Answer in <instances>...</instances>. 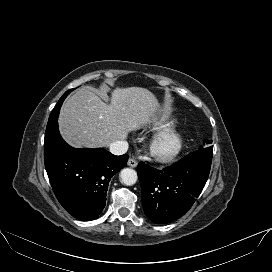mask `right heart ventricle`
I'll return each instance as SVG.
<instances>
[{
	"label": "right heart ventricle",
	"instance_id": "right-heart-ventricle-1",
	"mask_svg": "<svg viewBox=\"0 0 272 272\" xmlns=\"http://www.w3.org/2000/svg\"><path fill=\"white\" fill-rule=\"evenodd\" d=\"M173 124V121L166 116H161L154 121L156 128H166Z\"/></svg>",
	"mask_w": 272,
	"mask_h": 272
}]
</instances>
